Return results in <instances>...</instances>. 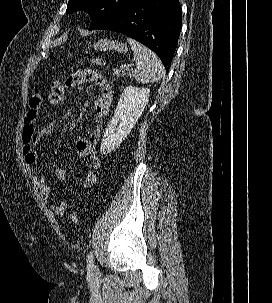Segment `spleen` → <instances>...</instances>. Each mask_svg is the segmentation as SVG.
Masks as SVG:
<instances>
[{"label": "spleen", "mask_w": 272, "mask_h": 303, "mask_svg": "<svg viewBox=\"0 0 272 303\" xmlns=\"http://www.w3.org/2000/svg\"><path fill=\"white\" fill-rule=\"evenodd\" d=\"M127 42L133 50L137 65L132 73L136 81L144 84L153 83L165 77L162 62L154 52L132 38H127Z\"/></svg>", "instance_id": "spleen-1"}]
</instances>
